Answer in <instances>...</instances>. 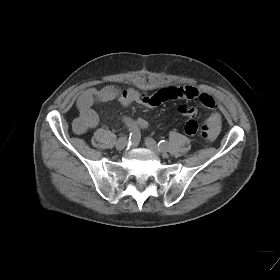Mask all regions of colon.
Listing matches in <instances>:
<instances>
[{"label":"colon","instance_id":"obj_1","mask_svg":"<svg viewBox=\"0 0 280 280\" xmlns=\"http://www.w3.org/2000/svg\"><path fill=\"white\" fill-rule=\"evenodd\" d=\"M109 91L115 95L117 93V89L114 87H109ZM76 127H79V123L74 121ZM185 132L188 135H196L200 134L203 137H208L210 129L206 125H200L196 120L190 119L186 122L184 127Z\"/></svg>","mask_w":280,"mask_h":280}]
</instances>
